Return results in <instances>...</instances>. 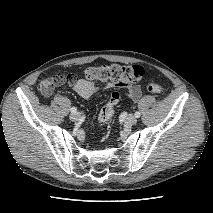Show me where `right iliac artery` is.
<instances>
[{
	"label": "right iliac artery",
	"instance_id": "82829eb1",
	"mask_svg": "<svg viewBox=\"0 0 213 213\" xmlns=\"http://www.w3.org/2000/svg\"><path fill=\"white\" fill-rule=\"evenodd\" d=\"M70 111H71L72 113H76V112H77V109H76L75 107H72V108L70 109Z\"/></svg>",
	"mask_w": 213,
	"mask_h": 213
}]
</instances>
